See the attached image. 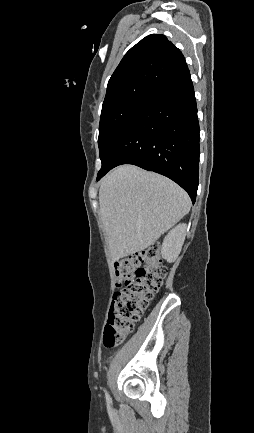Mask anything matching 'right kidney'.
Wrapping results in <instances>:
<instances>
[{"mask_svg":"<svg viewBox=\"0 0 254 433\" xmlns=\"http://www.w3.org/2000/svg\"><path fill=\"white\" fill-rule=\"evenodd\" d=\"M186 229V224H179L164 238L161 254L167 262H174L180 254L186 236Z\"/></svg>","mask_w":254,"mask_h":433,"instance_id":"obj_1","label":"right kidney"}]
</instances>
